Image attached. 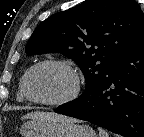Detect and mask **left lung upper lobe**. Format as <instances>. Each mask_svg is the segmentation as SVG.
I'll list each match as a JSON object with an SVG mask.
<instances>
[{
    "instance_id": "left-lung-upper-lobe-1",
    "label": "left lung upper lobe",
    "mask_w": 144,
    "mask_h": 137,
    "mask_svg": "<svg viewBox=\"0 0 144 137\" xmlns=\"http://www.w3.org/2000/svg\"><path fill=\"white\" fill-rule=\"evenodd\" d=\"M143 28L144 14L135 0H86L41 22L25 51L27 55L58 52L74 60L88 93Z\"/></svg>"
}]
</instances>
